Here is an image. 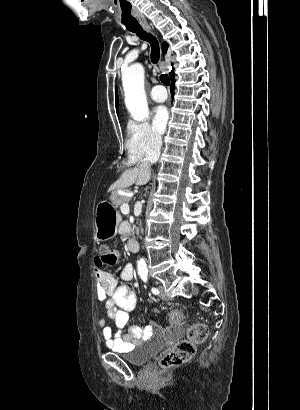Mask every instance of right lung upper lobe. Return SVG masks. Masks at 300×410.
I'll return each instance as SVG.
<instances>
[{
	"label": "right lung upper lobe",
	"instance_id": "cb5924a9",
	"mask_svg": "<svg viewBox=\"0 0 300 410\" xmlns=\"http://www.w3.org/2000/svg\"><path fill=\"white\" fill-rule=\"evenodd\" d=\"M167 48H168V44L164 43L163 44V49H164L165 52L167 51ZM169 75H170V78L174 75V69H172V71L169 73ZM116 108H118V95L117 94H116Z\"/></svg>",
	"mask_w": 300,
	"mask_h": 410
}]
</instances>
